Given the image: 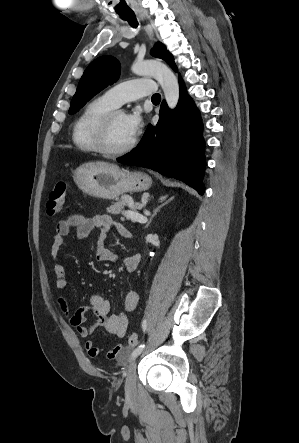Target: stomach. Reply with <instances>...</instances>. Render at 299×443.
I'll use <instances>...</instances> for the list:
<instances>
[{"mask_svg": "<svg viewBox=\"0 0 299 443\" xmlns=\"http://www.w3.org/2000/svg\"><path fill=\"white\" fill-rule=\"evenodd\" d=\"M84 193L102 199H114L124 193L148 190L152 179L143 172L121 170L115 164L87 163L78 167L73 175Z\"/></svg>", "mask_w": 299, "mask_h": 443, "instance_id": "stomach-1", "label": "stomach"}]
</instances>
